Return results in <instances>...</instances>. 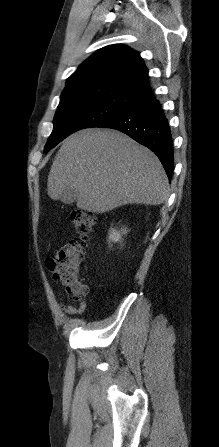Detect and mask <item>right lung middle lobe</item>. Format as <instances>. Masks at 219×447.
Returning a JSON list of instances; mask_svg holds the SVG:
<instances>
[{
  "instance_id": "1",
  "label": "right lung middle lobe",
  "mask_w": 219,
  "mask_h": 447,
  "mask_svg": "<svg viewBox=\"0 0 219 447\" xmlns=\"http://www.w3.org/2000/svg\"><path fill=\"white\" fill-rule=\"evenodd\" d=\"M142 103L121 90L106 86L65 88L54 117V129L44 152L70 134L84 128L97 127L108 119Z\"/></svg>"
}]
</instances>
